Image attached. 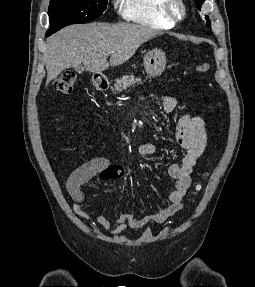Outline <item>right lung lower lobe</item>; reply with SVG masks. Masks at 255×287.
<instances>
[{"label": "right lung lower lobe", "mask_w": 255, "mask_h": 287, "mask_svg": "<svg viewBox=\"0 0 255 287\" xmlns=\"http://www.w3.org/2000/svg\"><path fill=\"white\" fill-rule=\"evenodd\" d=\"M50 35H51V34H47V33H46V36H47V37L50 36Z\"/></svg>", "instance_id": "obj_1"}]
</instances>
